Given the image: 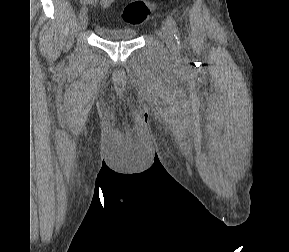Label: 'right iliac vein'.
<instances>
[{"label":"right iliac vein","mask_w":289,"mask_h":252,"mask_svg":"<svg viewBox=\"0 0 289 252\" xmlns=\"http://www.w3.org/2000/svg\"><path fill=\"white\" fill-rule=\"evenodd\" d=\"M88 23V17L87 14H80L79 18H78V26L79 29H84L87 26Z\"/></svg>","instance_id":"obj_1"}]
</instances>
